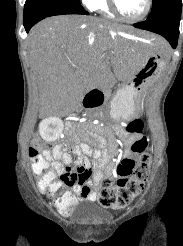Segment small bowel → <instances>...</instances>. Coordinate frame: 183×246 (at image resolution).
<instances>
[{
  "label": "small bowel",
  "mask_w": 183,
  "mask_h": 246,
  "mask_svg": "<svg viewBox=\"0 0 183 246\" xmlns=\"http://www.w3.org/2000/svg\"><path fill=\"white\" fill-rule=\"evenodd\" d=\"M115 133L121 138L126 150L123 157H131L133 144L141 139V131L127 132L121 128H115ZM80 138L86 142L78 145L67 146L66 144L55 145L51 150H45L43 156L51 162L53 173H57L59 178H77L69 186L72 191H64L58 200L62 203L57 205L60 211L67 215L81 201H95L96 192L93 190V181H100L103 176V169L113 156L116 148V140L113 132L108 128H99L92 131H83L79 134ZM91 144L94 146L92 147ZM72 155L78 157L75 164H70ZM86 157L94 159L93 166ZM77 173V171H84ZM76 172V173H65ZM79 178V179H78ZM64 185L58 182L55 190L52 192H44L53 195ZM69 203L70 206H65Z\"/></svg>",
  "instance_id": "small-bowel-1"
}]
</instances>
